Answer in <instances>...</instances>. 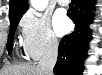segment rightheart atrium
<instances>
[{"mask_svg":"<svg viewBox=\"0 0 102 75\" xmlns=\"http://www.w3.org/2000/svg\"><path fill=\"white\" fill-rule=\"evenodd\" d=\"M19 30L23 50L30 60H37L45 53L56 51L58 41L47 17L28 11L20 20Z\"/></svg>","mask_w":102,"mask_h":75,"instance_id":"obj_1","label":"right heart atrium"}]
</instances>
